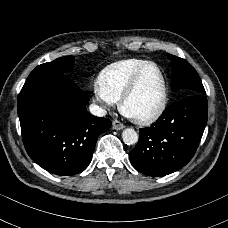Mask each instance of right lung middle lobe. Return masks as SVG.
Instances as JSON below:
<instances>
[{
    "label": "right lung middle lobe",
    "mask_w": 228,
    "mask_h": 228,
    "mask_svg": "<svg viewBox=\"0 0 228 228\" xmlns=\"http://www.w3.org/2000/svg\"><path fill=\"white\" fill-rule=\"evenodd\" d=\"M74 57H60L52 62L44 63L36 67L27 79L46 74L64 73L73 68Z\"/></svg>",
    "instance_id": "right-lung-middle-lobe-1"
}]
</instances>
